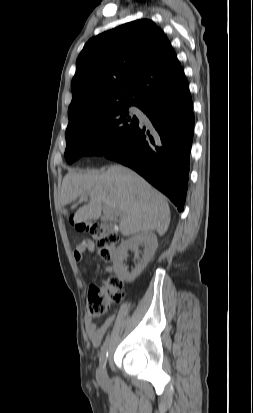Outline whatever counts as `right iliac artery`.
Segmentation results:
<instances>
[{
    "label": "right iliac artery",
    "mask_w": 253,
    "mask_h": 413,
    "mask_svg": "<svg viewBox=\"0 0 253 413\" xmlns=\"http://www.w3.org/2000/svg\"><path fill=\"white\" fill-rule=\"evenodd\" d=\"M108 357V339L104 342L100 353V367L105 368Z\"/></svg>",
    "instance_id": "obj_1"
}]
</instances>
